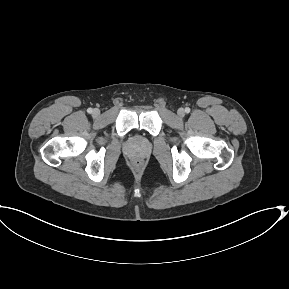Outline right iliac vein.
Segmentation results:
<instances>
[{"label": "right iliac vein", "instance_id": "1", "mask_svg": "<svg viewBox=\"0 0 289 289\" xmlns=\"http://www.w3.org/2000/svg\"><path fill=\"white\" fill-rule=\"evenodd\" d=\"M100 115V110L99 109H94L93 110V116L97 117Z\"/></svg>", "mask_w": 289, "mask_h": 289}]
</instances>
